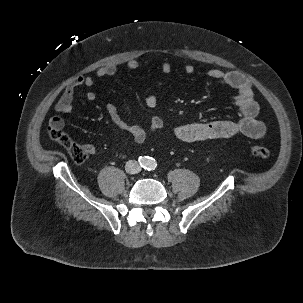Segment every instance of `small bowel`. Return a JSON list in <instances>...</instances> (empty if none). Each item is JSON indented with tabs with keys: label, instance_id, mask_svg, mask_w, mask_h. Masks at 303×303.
I'll return each instance as SVG.
<instances>
[{
	"label": "small bowel",
	"instance_id": "obj_1",
	"mask_svg": "<svg viewBox=\"0 0 303 303\" xmlns=\"http://www.w3.org/2000/svg\"><path fill=\"white\" fill-rule=\"evenodd\" d=\"M126 66L130 70L139 67V62L135 59L127 61ZM161 71L164 74L171 72V66L165 62L162 64ZM117 72L115 64H108L100 67L93 76H80L72 80L64 89L59 100L55 104V111L60 114H68L73 110V99L75 90L78 87H91L94 85L96 78L102 79L113 76ZM186 74H192L194 67L190 64L184 67ZM207 75L212 79L221 82L223 85L235 91V104L240 113L237 121L217 120L211 122H198L177 126L174 129V135L183 142H199L209 139L228 138L236 134H243L252 139L261 138L266 131L262 121L257 119L259 106L254 100L253 88L251 83L238 72H226L220 69H211ZM97 95L94 91L86 94L88 101H94ZM147 107L154 108L157 104V97L150 93L145 97ZM106 111L111 121L120 129L127 131L136 143L145 141L148 131L141 126L128 123L119 113L113 103L106 104ZM50 125L63 128L64 120L60 116H54L50 119ZM163 120L153 115L149 119V131L156 132L163 127ZM85 149L88 154H94L95 147L92 144H86Z\"/></svg>",
	"mask_w": 303,
	"mask_h": 303
}]
</instances>
